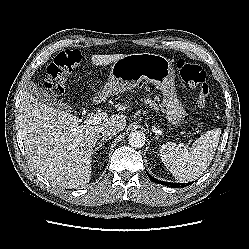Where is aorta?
<instances>
[{
  "instance_id": "aorta-1",
  "label": "aorta",
  "mask_w": 249,
  "mask_h": 249,
  "mask_svg": "<svg viewBox=\"0 0 249 249\" xmlns=\"http://www.w3.org/2000/svg\"><path fill=\"white\" fill-rule=\"evenodd\" d=\"M129 144L134 148H141L145 145V134L140 131H133L128 136Z\"/></svg>"
}]
</instances>
